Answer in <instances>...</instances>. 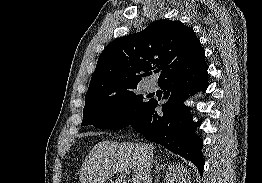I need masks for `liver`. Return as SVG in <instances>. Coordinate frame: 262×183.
<instances>
[{"label":"liver","mask_w":262,"mask_h":183,"mask_svg":"<svg viewBox=\"0 0 262 183\" xmlns=\"http://www.w3.org/2000/svg\"><path fill=\"white\" fill-rule=\"evenodd\" d=\"M147 146L153 153L155 146ZM121 170H132L143 183H152L151 167L147 165L140 144L111 140L94 145L82 163L79 178L81 183H106L108 180L111 183H126L122 179L112 181V177Z\"/></svg>","instance_id":"6515ba94"}]
</instances>
